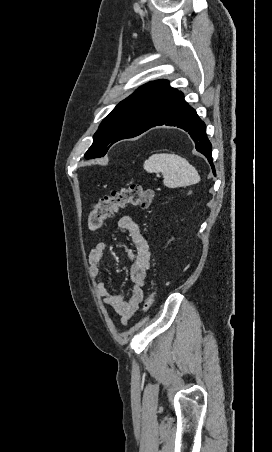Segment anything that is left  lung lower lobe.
I'll use <instances>...</instances> for the list:
<instances>
[{
    "instance_id": "0a47b994",
    "label": "left lung lower lobe",
    "mask_w": 272,
    "mask_h": 452,
    "mask_svg": "<svg viewBox=\"0 0 272 452\" xmlns=\"http://www.w3.org/2000/svg\"><path fill=\"white\" fill-rule=\"evenodd\" d=\"M160 125L176 126L187 131L195 142L196 150L208 159L215 175V168L212 161V146L206 135V125L198 117L196 111L184 100L182 92H176L148 129Z\"/></svg>"
}]
</instances>
